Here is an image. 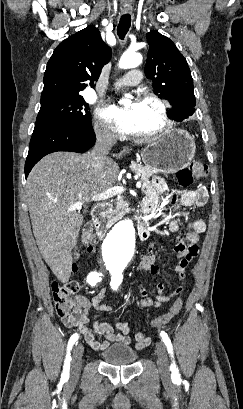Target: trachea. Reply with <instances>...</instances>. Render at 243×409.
<instances>
[{
  "instance_id": "1",
  "label": "trachea",
  "mask_w": 243,
  "mask_h": 409,
  "mask_svg": "<svg viewBox=\"0 0 243 409\" xmlns=\"http://www.w3.org/2000/svg\"><path fill=\"white\" fill-rule=\"evenodd\" d=\"M131 25V16L129 14H125L121 16L117 27V34L120 39H124L125 35L127 34Z\"/></svg>"
}]
</instances>
